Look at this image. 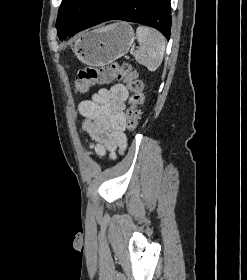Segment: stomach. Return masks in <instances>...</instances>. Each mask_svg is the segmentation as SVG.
<instances>
[{"label":"stomach","mask_w":247,"mask_h":280,"mask_svg":"<svg viewBox=\"0 0 247 280\" xmlns=\"http://www.w3.org/2000/svg\"><path fill=\"white\" fill-rule=\"evenodd\" d=\"M134 40L133 28L126 22H117L83 33L73 52L84 64L104 66L126 55Z\"/></svg>","instance_id":"0dacf381"}]
</instances>
